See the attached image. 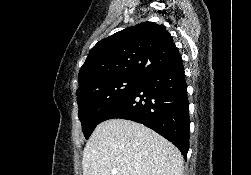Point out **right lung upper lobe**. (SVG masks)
<instances>
[{"label": "right lung upper lobe", "instance_id": "cb5924a9", "mask_svg": "<svg viewBox=\"0 0 251 175\" xmlns=\"http://www.w3.org/2000/svg\"><path fill=\"white\" fill-rule=\"evenodd\" d=\"M181 61L165 26L144 22L99 41L91 49L78 75L79 88L122 76L142 79Z\"/></svg>", "mask_w": 251, "mask_h": 175}]
</instances>
